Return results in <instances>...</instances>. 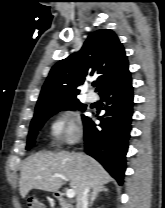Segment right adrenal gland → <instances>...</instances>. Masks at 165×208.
<instances>
[{"label": "right adrenal gland", "instance_id": "2a0ac1e0", "mask_svg": "<svg viewBox=\"0 0 165 208\" xmlns=\"http://www.w3.org/2000/svg\"><path fill=\"white\" fill-rule=\"evenodd\" d=\"M102 192H108V189L104 186H101V187H98V188H94L92 190L90 201H89V204H88L89 207H91L93 205V203L96 200V198L98 197V195Z\"/></svg>", "mask_w": 165, "mask_h": 208}]
</instances>
